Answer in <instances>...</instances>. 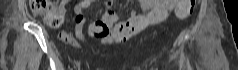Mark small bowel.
<instances>
[{
	"mask_svg": "<svg viewBox=\"0 0 238 70\" xmlns=\"http://www.w3.org/2000/svg\"><path fill=\"white\" fill-rule=\"evenodd\" d=\"M68 3V0L60 2L58 9L63 15L66 13ZM92 3L93 0H84L78 5L73 29L69 32H61L59 34L60 40L73 47H80L81 44L86 43V34L88 37L100 39L105 44L124 41L147 26L158 24L165 20L168 14L176 9L179 0H140V6L144 13L139 14L136 11H131L130 18L126 22L116 25L117 15L111 9V3H109L101 18L88 25L85 34L83 30L85 21L81 10Z\"/></svg>",
	"mask_w": 238,
	"mask_h": 70,
	"instance_id": "c3829d8e",
	"label": "small bowel"
}]
</instances>
